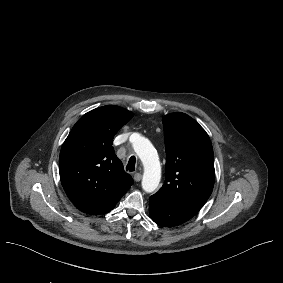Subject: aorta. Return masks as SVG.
Listing matches in <instances>:
<instances>
[{"label":"aorta","instance_id":"obj_1","mask_svg":"<svg viewBox=\"0 0 283 283\" xmlns=\"http://www.w3.org/2000/svg\"><path fill=\"white\" fill-rule=\"evenodd\" d=\"M133 148L144 166L142 188L145 192H154L161 179V165L157 151L151 142L140 134H132Z\"/></svg>","mask_w":283,"mask_h":283}]
</instances>
